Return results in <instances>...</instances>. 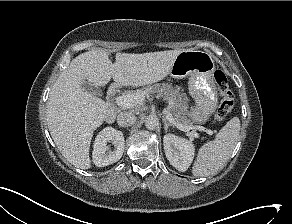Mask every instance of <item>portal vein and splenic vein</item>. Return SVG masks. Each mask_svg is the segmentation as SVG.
I'll use <instances>...</instances> for the list:
<instances>
[{"mask_svg":"<svg viewBox=\"0 0 292 224\" xmlns=\"http://www.w3.org/2000/svg\"><path fill=\"white\" fill-rule=\"evenodd\" d=\"M145 95L146 94L144 92L137 91V92L132 93V94L118 96V97H116V104L124 109L133 108V107L139 106L143 103ZM166 119L169 122L173 123L174 126L181 131L188 132L191 129V127H187V126H184L180 123L175 122L172 114L169 112L166 113ZM196 129H198L200 131L207 132L210 135L213 134V131L206 129L202 126H197ZM193 136L197 138L198 134L194 133Z\"/></svg>","mask_w":292,"mask_h":224,"instance_id":"portal-vein-and-splenic-vein-1","label":"portal vein and splenic vein"}]
</instances>
